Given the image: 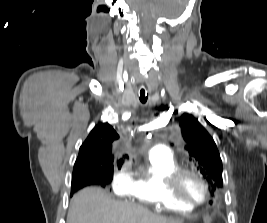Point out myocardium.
<instances>
[{"instance_id":"1","label":"myocardium","mask_w":267,"mask_h":223,"mask_svg":"<svg viewBox=\"0 0 267 223\" xmlns=\"http://www.w3.org/2000/svg\"><path fill=\"white\" fill-rule=\"evenodd\" d=\"M188 175L195 177L201 183L204 189V196L201 200L197 201L190 199L182 192L181 184L183 178ZM165 188L167 194L172 199L190 207H198L204 204L208 200L210 195L209 185L205 178L202 176L201 173L190 168H178L174 172L170 173L166 178Z\"/></svg>"}]
</instances>
